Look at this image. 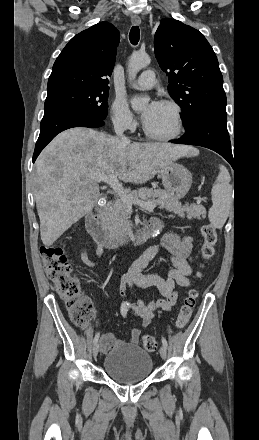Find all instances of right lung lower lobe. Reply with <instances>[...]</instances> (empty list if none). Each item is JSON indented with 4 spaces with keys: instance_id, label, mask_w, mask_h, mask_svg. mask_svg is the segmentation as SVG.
I'll return each instance as SVG.
<instances>
[{
    "instance_id": "obj_1",
    "label": "right lung lower lobe",
    "mask_w": 259,
    "mask_h": 440,
    "mask_svg": "<svg viewBox=\"0 0 259 440\" xmlns=\"http://www.w3.org/2000/svg\"><path fill=\"white\" fill-rule=\"evenodd\" d=\"M103 125H105L104 120L82 113L67 112L43 117L40 124V135L34 150L33 162L58 133L73 127L97 128Z\"/></svg>"
}]
</instances>
